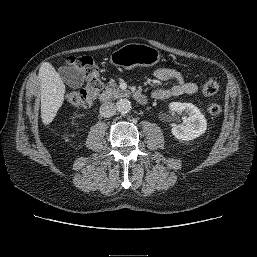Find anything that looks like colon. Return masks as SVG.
<instances>
[{
  "mask_svg": "<svg viewBox=\"0 0 257 257\" xmlns=\"http://www.w3.org/2000/svg\"><path fill=\"white\" fill-rule=\"evenodd\" d=\"M67 64L78 69L86 80V86L83 89L70 91L67 94L68 102L77 107L91 106L102 88L98 66L92 57L88 55L70 57L67 60ZM202 89L205 95L212 96L217 93L219 84L214 78H209L204 82ZM208 111L211 115L217 116L222 112V106L217 102H213L209 105Z\"/></svg>",
  "mask_w": 257,
  "mask_h": 257,
  "instance_id": "colon-1",
  "label": "colon"
}]
</instances>
